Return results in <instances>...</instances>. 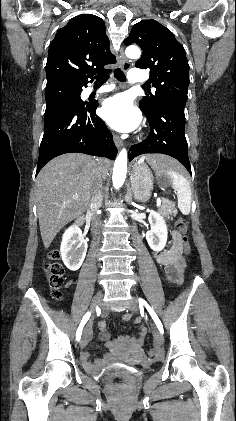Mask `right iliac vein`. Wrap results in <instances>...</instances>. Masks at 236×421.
Here are the masks:
<instances>
[{"label":"right iliac vein","instance_id":"1","mask_svg":"<svg viewBox=\"0 0 236 421\" xmlns=\"http://www.w3.org/2000/svg\"><path fill=\"white\" fill-rule=\"evenodd\" d=\"M102 298H103V293H102L101 291H98V292L96 293V295L93 297L92 302H91V305H90V308H91V312H92V313H93V312L95 311V309H96V308H97V307L101 304V302H102ZM91 325H92V322L90 321V322L88 323L87 329H86V331L84 332L83 338H82V340H81V343H80L81 348H84V347H85V345H86V340H87V337H88V334H89V331H90Z\"/></svg>","mask_w":236,"mask_h":421}]
</instances>
